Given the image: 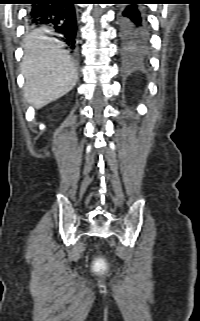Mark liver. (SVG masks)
Returning <instances> with one entry per match:
<instances>
[{
    "instance_id": "obj_1",
    "label": "liver",
    "mask_w": 200,
    "mask_h": 321,
    "mask_svg": "<svg viewBox=\"0 0 200 321\" xmlns=\"http://www.w3.org/2000/svg\"><path fill=\"white\" fill-rule=\"evenodd\" d=\"M60 41L44 35L43 30L25 38L21 71L25 78L24 97L40 109L67 94L76 85L77 70Z\"/></svg>"
}]
</instances>
